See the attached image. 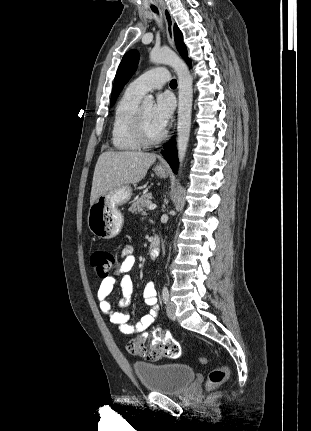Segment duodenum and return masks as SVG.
Listing matches in <instances>:
<instances>
[{"mask_svg": "<svg viewBox=\"0 0 311 431\" xmlns=\"http://www.w3.org/2000/svg\"><path fill=\"white\" fill-rule=\"evenodd\" d=\"M160 253V239L156 235L153 237L150 247H149V255L152 259H156Z\"/></svg>", "mask_w": 311, "mask_h": 431, "instance_id": "duodenum-1", "label": "duodenum"}]
</instances>
